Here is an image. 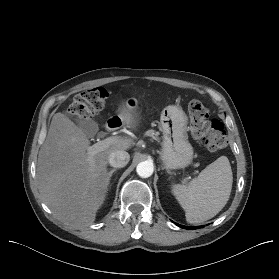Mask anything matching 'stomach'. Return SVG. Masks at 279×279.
Wrapping results in <instances>:
<instances>
[{"mask_svg":"<svg viewBox=\"0 0 279 279\" xmlns=\"http://www.w3.org/2000/svg\"><path fill=\"white\" fill-rule=\"evenodd\" d=\"M137 99L130 98L127 104L137 106ZM188 119L181 107L169 105L160 116V130L163 133L161 160L166 169L188 166L193 159V148L188 141Z\"/></svg>","mask_w":279,"mask_h":279,"instance_id":"1","label":"stomach"}]
</instances>
